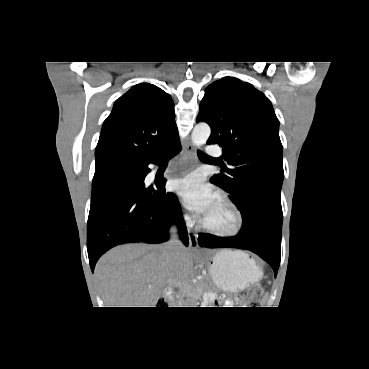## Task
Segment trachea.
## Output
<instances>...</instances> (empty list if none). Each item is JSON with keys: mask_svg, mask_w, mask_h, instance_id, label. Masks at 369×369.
<instances>
[{"mask_svg": "<svg viewBox=\"0 0 369 369\" xmlns=\"http://www.w3.org/2000/svg\"><path fill=\"white\" fill-rule=\"evenodd\" d=\"M198 157L199 158H210L208 155H206L205 153H203L202 151H198Z\"/></svg>", "mask_w": 369, "mask_h": 369, "instance_id": "trachea-1", "label": "trachea"}]
</instances>
